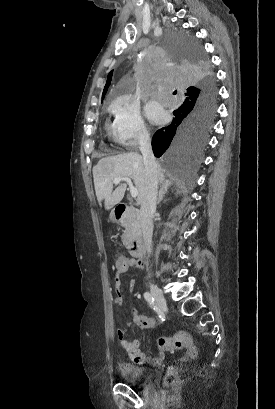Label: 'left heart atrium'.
Returning <instances> with one entry per match:
<instances>
[{"label":"left heart atrium","mask_w":275,"mask_h":409,"mask_svg":"<svg viewBox=\"0 0 275 409\" xmlns=\"http://www.w3.org/2000/svg\"><path fill=\"white\" fill-rule=\"evenodd\" d=\"M146 111H147L148 116L151 119H153V120H155L157 122L163 121L164 114H163L162 110L157 105L149 104L146 107Z\"/></svg>","instance_id":"obj_1"}]
</instances>
